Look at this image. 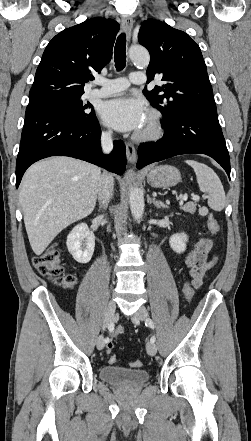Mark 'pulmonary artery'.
Instances as JSON below:
<instances>
[{
    "mask_svg": "<svg viewBox=\"0 0 251 441\" xmlns=\"http://www.w3.org/2000/svg\"><path fill=\"white\" fill-rule=\"evenodd\" d=\"M146 81V76L143 72H133L130 74L129 78H116V79H104L97 78L95 83L100 86V88H95L90 92L91 96L95 97H108L124 91L130 85L133 84H143Z\"/></svg>",
    "mask_w": 251,
    "mask_h": 441,
    "instance_id": "pulmonary-artery-1",
    "label": "pulmonary artery"
}]
</instances>
